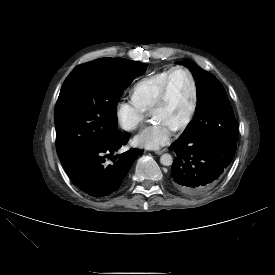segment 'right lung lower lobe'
Listing matches in <instances>:
<instances>
[{
	"mask_svg": "<svg viewBox=\"0 0 275 275\" xmlns=\"http://www.w3.org/2000/svg\"><path fill=\"white\" fill-rule=\"evenodd\" d=\"M128 139L120 132L98 144L70 151L60 157L61 162L73 183L83 192L93 197H103L116 191L140 149H130L117 159L118 151ZM115 160L109 164L108 158ZM117 159V160H116Z\"/></svg>",
	"mask_w": 275,
	"mask_h": 275,
	"instance_id": "obj_1",
	"label": "right lung lower lobe"
}]
</instances>
